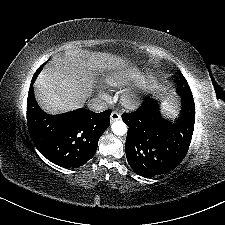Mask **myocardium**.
<instances>
[{"mask_svg":"<svg viewBox=\"0 0 225 225\" xmlns=\"http://www.w3.org/2000/svg\"><path fill=\"white\" fill-rule=\"evenodd\" d=\"M156 81L157 77L155 75L148 77L146 82L139 89L133 91L125 97V105L129 108H137L140 106L146 97L148 89L152 87Z\"/></svg>","mask_w":225,"mask_h":225,"instance_id":"myocardium-1","label":"myocardium"}]
</instances>
